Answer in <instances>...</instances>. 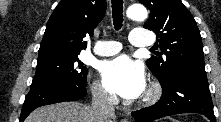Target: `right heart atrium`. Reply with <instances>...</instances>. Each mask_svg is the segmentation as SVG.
Segmentation results:
<instances>
[{"mask_svg": "<svg viewBox=\"0 0 221 122\" xmlns=\"http://www.w3.org/2000/svg\"><path fill=\"white\" fill-rule=\"evenodd\" d=\"M92 93L97 100L103 103H107V104L116 103L115 96L109 93L99 81H95L92 84Z\"/></svg>", "mask_w": 221, "mask_h": 122, "instance_id": "obj_1", "label": "right heart atrium"}]
</instances>
